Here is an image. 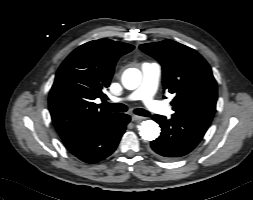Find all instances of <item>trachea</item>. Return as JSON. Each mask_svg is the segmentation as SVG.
Instances as JSON below:
<instances>
[{"mask_svg": "<svg viewBox=\"0 0 253 200\" xmlns=\"http://www.w3.org/2000/svg\"><path fill=\"white\" fill-rule=\"evenodd\" d=\"M104 106L109 108L113 112H126L127 106L121 103H104ZM134 113L139 116H149L150 113L142 108H138L134 110Z\"/></svg>", "mask_w": 253, "mask_h": 200, "instance_id": "trachea-1", "label": "trachea"}]
</instances>
